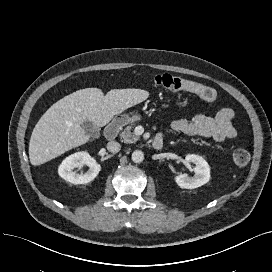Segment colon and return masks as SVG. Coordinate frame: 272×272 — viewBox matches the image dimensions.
<instances>
[{"label":"colon","instance_id":"colon-1","mask_svg":"<svg viewBox=\"0 0 272 272\" xmlns=\"http://www.w3.org/2000/svg\"><path fill=\"white\" fill-rule=\"evenodd\" d=\"M155 85L171 93L189 92L197 95L206 102H213L217 98V93L212 87L182 79L169 74H162L155 77ZM250 161V154L245 149H237L233 153L235 166L245 167Z\"/></svg>","mask_w":272,"mask_h":272}]
</instances>
